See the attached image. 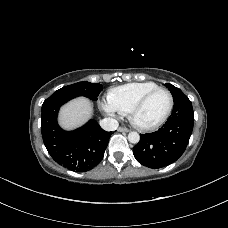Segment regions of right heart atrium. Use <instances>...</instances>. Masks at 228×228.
<instances>
[{"instance_id":"d8ad5b80","label":"right heart atrium","mask_w":228,"mask_h":228,"mask_svg":"<svg viewBox=\"0 0 228 228\" xmlns=\"http://www.w3.org/2000/svg\"><path fill=\"white\" fill-rule=\"evenodd\" d=\"M102 108L110 116L116 117L120 114L108 100L102 102Z\"/></svg>"}]
</instances>
